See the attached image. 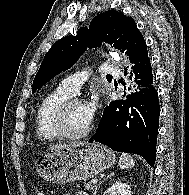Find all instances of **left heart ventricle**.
I'll return each mask as SVG.
<instances>
[{
    "label": "left heart ventricle",
    "instance_id": "1",
    "mask_svg": "<svg viewBox=\"0 0 189 195\" xmlns=\"http://www.w3.org/2000/svg\"><path fill=\"white\" fill-rule=\"evenodd\" d=\"M90 121L85 104H76L68 111L65 126L68 132L78 134L89 125Z\"/></svg>",
    "mask_w": 189,
    "mask_h": 195
}]
</instances>
